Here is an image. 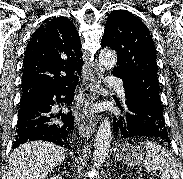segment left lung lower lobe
I'll use <instances>...</instances> for the list:
<instances>
[{
	"instance_id": "obj_1",
	"label": "left lung lower lobe",
	"mask_w": 183,
	"mask_h": 179,
	"mask_svg": "<svg viewBox=\"0 0 183 179\" xmlns=\"http://www.w3.org/2000/svg\"><path fill=\"white\" fill-rule=\"evenodd\" d=\"M126 114L114 117V131L117 139L146 136L162 140L170 145L168 132L163 120L146 110L141 103L126 93ZM124 109L121 108V111Z\"/></svg>"
}]
</instances>
